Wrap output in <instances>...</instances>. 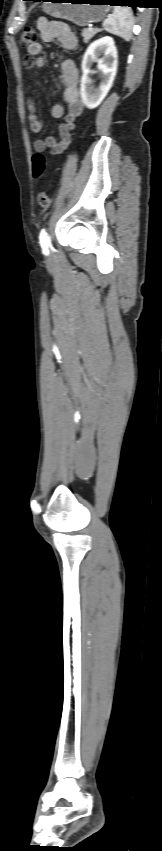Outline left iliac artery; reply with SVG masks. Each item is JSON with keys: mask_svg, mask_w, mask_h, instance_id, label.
I'll use <instances>...</instances> for the list:
<instances>
[{"mask_svg": "<svg viewBox=\"0 0 162 851\" xmlns=\"http://www.w3.org/2000/svg\"><path fill=\"white\" fill-rule=\"evenodd\" d=\"M47 239H48L47 233H46L45 229H42L41 232H40L39 240H40V245L42 247V251L46 255L49 253V251H48V240Z\"/></svg>", "mask_w": 162, "mask_h": 851, "instance_id": "left-iliac-artery-1", "label": "left iliac artery"}]
</instances>
